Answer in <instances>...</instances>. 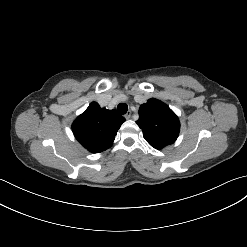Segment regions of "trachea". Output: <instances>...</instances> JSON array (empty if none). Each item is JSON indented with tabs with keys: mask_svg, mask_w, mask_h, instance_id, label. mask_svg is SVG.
<instances>
[{
	"mask_svg": "<svg viewBox=\"0 0 247 247\" xmlns=\"http://www.w3.org/2000/svg\"><path fill=\"white\" fill-rule=\"evenodd\" d=\"M117 110L120 114H125L128 110V106L127 104L125 103H120L118 106H117Z\"/></svg>",
	"mask_w": 247,
	"mask_h": 247,
	"instance_id": "1",
	"label": "trachea"
}]
</instances>
